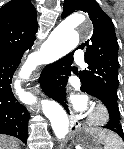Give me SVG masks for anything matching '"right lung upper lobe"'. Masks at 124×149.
<instances>
[{"label":"right lung upper lobe","mask_w":124,"mask_h":149,"mask_svg":"<svg viewBox=\"0 0 124 149\" xmlns=\"http://www.w3.org/2000/svg\"><path fill=\"white\" fill-rule=\"evenodd\" d=\"M36 9L29 0H12L0 9V54L29 49L37 32Z\"/></svg>","instance_id":"1"}]
</instances>
